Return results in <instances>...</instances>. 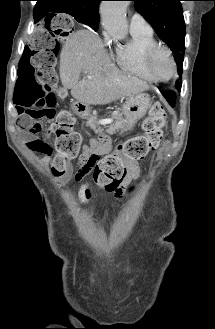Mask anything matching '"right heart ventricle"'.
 <instances>
[{
    "label": "right heart ventricle",
    "mask_w": 215,
    "mask_h": 329,
    "mask_svg": "<svg viewBox=\"0 0 215 329\" xmlns=\"http://www.w3.org/2000/svg\"><path fill=\"white\" fill-rule=\"evenodd\" d=\"M131 40L116 48L115 60L125 72L145 81L156 82L145 67L147 52L158 43L153 33L131 32Z\"/></svg>",
    "instance_id": "1"
}]
</instances>
